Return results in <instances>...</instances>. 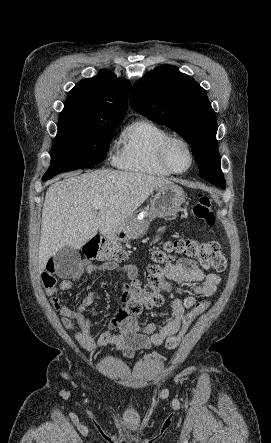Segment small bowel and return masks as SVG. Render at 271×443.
<instances>
[{
  "mask_svg": "<svg viewBox=\"0 0 271 443\" xmlns=\"http://www.w3.org/2000/svg\"><path fill=\"white\" fill-rule=\"evenodd\" d=\"M97 270L117 272L129 281L136 279L137 276V269L131 264L120 265L116 262H104L100 265H94L84 260L69 278H64L57 286L46 289V294L50 297V303L61 315V323L65 328L76 332L79 345L87 351L112 347L121 351L125 356L131 357L138 350L158 346L165 338L177 333L186 310L191 309L196 304V299L193 296L184 299L175 298L171 301L172 319L166 322L148 321L141 323L128 312L127 295L122 294L123 307L110 320L108 329L102 332L96 340L93 336L90 319L85 314L86 309L94 303V293L90 291L75 309L66 305L56 294L58 291L71 289L84 274ZM164 272L168 279L177 284L192 285L193 291L202 296L213 295L221 282L219 275L204 273L195 262L184 257L170 260L166 264ZM129 284V282H123L121 287Z\"/></svg>",
  "mask_w": 271,
  "mask_h": 443,
  "instance_id": "c3829d8e",
  "label": "small bowel"
}]
</instances>
